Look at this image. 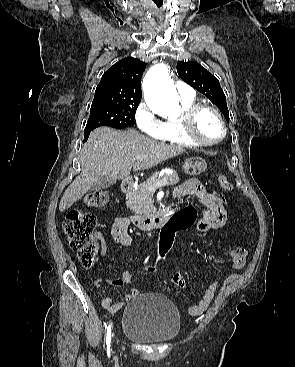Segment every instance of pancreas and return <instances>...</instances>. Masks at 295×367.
<instances>
[{
    "mask_svg": "<svg viewBox=\"0 0 295 367\" xmlns=\"http://www.w3.org/2000/svg\"><path fill=\"white\" fill-rule=\"evenodd\" d=\"M163 179L168 181L167 185H176L179 182V177L176 173L165 174ZM160 179L153 175L145 182L140 183L138 187L126 195V205L137 215H146L154 210V203L152 200L153 192L149 190L155 182Z\"/></svg>",
    "mask_w": 295,
    "mask_h": 367,
    "instance_id": "cf45deb5",
    "label": "pancreas"
}]
</instances>
